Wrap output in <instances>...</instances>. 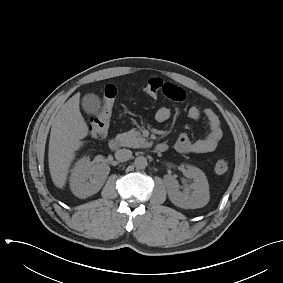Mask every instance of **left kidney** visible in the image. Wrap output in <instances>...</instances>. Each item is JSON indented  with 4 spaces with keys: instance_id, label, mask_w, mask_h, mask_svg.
<instances>
[{
    "instance_id": "1",
    "label": "left kidney",
    "mask_w": 283,
    "mask_h": 283,
    "mask_svg": "<svg viewBox=\"0 0 283 283\" xmlns=\"http://www.w3.org/2000/svg\"><path fill=\"white\" fill-rule=\"evenodd\" d=\"M186 177L193 179V183L183 192L179 190V183L171 176H166L168 196L171 202L184 209L201 208L207 205L210 199L209 185L205 174L196 167L188 166L184 171Z\"/></svg>"
}]
</instances>
